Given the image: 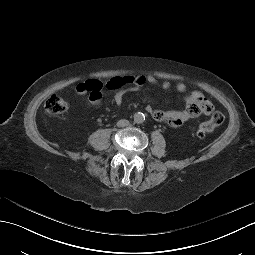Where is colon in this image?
<instances>
[{
	"label": "colon",
	"instance_id": "colon-1",
	"mask_svg": "<svg viewBox=\"0 0 255 255\" xmlns=\"http://www.w3.org/2000/svg\"><path fill=\"white\" fill-rule=\"evenodd\" d=\"M69 108V103L63 98L52 95L45 102V110L52 115H58L66 112ZM225 120L224 115L221 112H215L212 116L203 122H200L196 128V134L199 137L213 132L215 128L220 126Z\"/></svg>",
	"mask_w": 255,
	"mask_h": 255
}]
</instances>
